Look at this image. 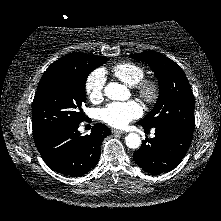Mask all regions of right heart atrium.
<instances>
[{
	"label": "right heart atrium",
	"mask_w": 221,
	"mask_h": 221,
	"mask_svg": "<svg viewBox=\"0 0 221 221\" xmlns=\"http://www.w3.org/2000/svg\"><path fill=\"white\" fill-rule=\"evenodd\" d=\"M106 75L102 69L92 71L85 81V92L90 101L99 102L103 99Z\"/></svg>",
	"instance_id": "1"
}]
</instances>
